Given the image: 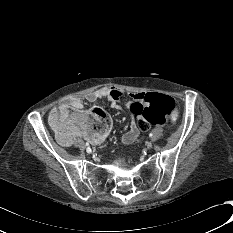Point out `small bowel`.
I'll use <instances>...</instances> for the list:
<instances>
[{
	"mask_svg": "<svg viewBox=\"0 0 233 233\" xmlns=\"http://www.w3.org/2000/svg\"><path fill=\"white\" fill-rule=\"evenodd\" d=\"M141 93V92H140ZM139 93H130L129 96L135 97ZM150 94V93H149ZM125 95V92L122 89L115 87H104L97 89L95 91L89 92L83 96L72 97L67 101V106H69L72 110L69 116H74L75 112H78L85 108L87 102H95L99 99H106L110 103V106L116 110H122V106L120 105L121 98ZM56 109L52 111L51 114L55 112ZM130 127L129 130L123 134L121 137V142L125 145H129L133 143L138 134L139 128L137 125L136 117L130 116ZM111 132V122L106 125L105 129L93 135L88 134L86 131L71 127L66 133L56 134L58 141L65 146H70L73 143V140L77 136L84 137L87 141H89L93 145H101L109 136Z\"/></svg>",
	"mask_w": 233,
	"mask_h": 233,
	"instance_id": "c3829d8e",
	"label": "small bowel"
}]
</instances>
